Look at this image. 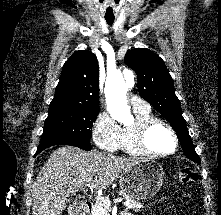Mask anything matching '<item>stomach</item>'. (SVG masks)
<instances>
[{"label":"stomach","mask_w":221,"mask_h":215,"mask_svg":"<svg viewBox=\"0 0 221 215\" xmlns=\"http://www.w3.org/2000/svg\"><path fill=\"white\" fill-rule=\"evenodd\" d=\"M164 171L155 161L141 160L123 170L119 184L130 198L146 200L152 198L163 185Z\"/></svg>","instance_id":"obj_1"}]
</instances>
